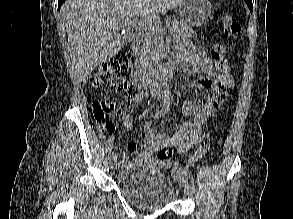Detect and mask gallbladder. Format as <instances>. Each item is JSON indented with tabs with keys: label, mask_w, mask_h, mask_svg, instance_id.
Returning <instances> with one entry per match:
<instances>
[{
	"label": "gallbladder",
	"mask_w": 293,
	"mask_h": 219,
	"mask_svg": "<svg viewBox=\"0 0 293 219\" xmlns=\"http://www.w3.org/2000/svg\"><path fill=\"white\" fill-rule=\"evenodd\" d=\"M129 39H130V41L133 39V38H132V35L129 36Z\"/></svg>",
	"instance_id": "1"
}]
</instances>
